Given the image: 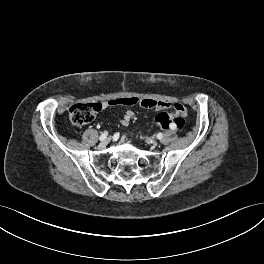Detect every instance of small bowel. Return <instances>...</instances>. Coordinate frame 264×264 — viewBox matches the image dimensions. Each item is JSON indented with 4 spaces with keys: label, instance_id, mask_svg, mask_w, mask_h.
Segmentation results:
<instances>
[{
    "label": "small bowel",
    "instance_id": "obj_1",
    "mask_svg": "<svg viewBox=\"0 0 264 264\" xmlns=\"http://www.w3.org/2000/svg\"><path fill=\"white\" fill-rule=\"evenodd\" d=\"M132 99V104H138L141 107L145 108V109H151V110H155V111H160V110H166L169 108H174L176 109L177 107L181 106L180 104H171L169 102H165V101H157V100H153V99H137L134 97H129ZM110 104L108 102H103L102 106L105 108L107 106H109ZM129 105V106H131ZM134 116V113L132 110H127L124 115L122 116L120 123L123 126H128L130 121L132 120Z\"/></svg>",
    "mask_w": 264,
    "mask_h": 264
}]
</instances>
